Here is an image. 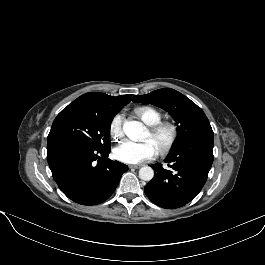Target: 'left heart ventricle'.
<instances>
[{
    "label": "left heart ventricle",
    "mask_w": 265,
    "mask_h": 265,
    "mask_svg": "<svg viewBox=\"0 0 265 265\" xmlns=\"http://www.w3.org/2000/svg\"><path fill=\"white\" fill-rule=\"evenodd\" d=\"M165 137H166V135L163 134L159 139H157V140H152V139L150 138V134H149V132H148L147 135H146V139L150 140V141L156 146V148L158 147V145H159L161 142H163V141L165 140Z\"/></svg>",
    "instance_id": "obj_1"
}]
</instances>
